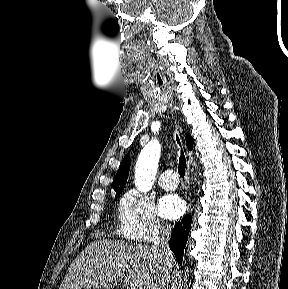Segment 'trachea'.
<instances>
[{
	"label": "trachea",
	"instance_id": "obj_1",
	"mask_svg": "<svg viewBox=\"0 0 288 289\" xmlns=\"http://www.w3.org/2000/svg\"><path fill=\"white\" fill-rule=\"evenodd\" d=\"M176 140H177V143L180 144V140L178 136H176ZM185 168H186V159H185L183 152L181 151V155H180L179 163H178V173L181 177H184L185 175Z\"/></svg>",
	"mask_w": 288,
	"mask_h": 289
}]
</instances>
